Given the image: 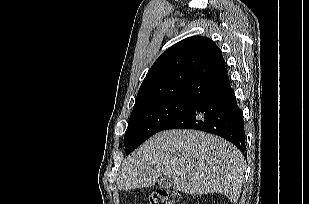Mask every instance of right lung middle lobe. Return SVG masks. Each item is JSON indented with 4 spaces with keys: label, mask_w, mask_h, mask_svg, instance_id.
Instances as JSON below:
<instances>
[{
    "label": "right lung middle lobe",
    "mask_w": 309,
    "mask_h": 204,
    "mask_svg": "<svg viewBox=\"0 0 309 204\" xmlns=\"http://www.w3.org/2000/svg\"><path fill=\"white\" fill-rule=\"evenodd\" d=\"M197 102L190 99L166 98L135 104L124 136L126 154L163 130Z\"/></svg>",
    "instance_id": "right-lung-middle-lobe-1"
}]
</instances>
